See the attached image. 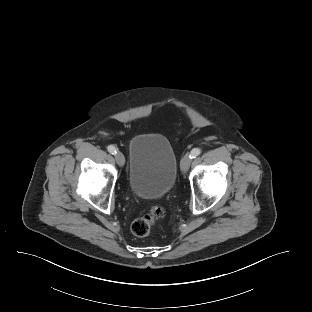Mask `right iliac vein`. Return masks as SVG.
<instances>
[{
	"instance_id": "right-iliac-vein-1",
	"label": "right iliac vein",
	"mask_w": 312,
	"mask_h": 312,
	"mask_svg": "<svg viewBox=\"0 0 312 312\" xmlns=\"http://www.w3.org/2000/svg\"><path fill=\"white\" fill-rule=\"evenodd\" d=\"M115 160L119 166H123L125 164V157L121 152H117L115 154Z\"/></svg>"
}]
</instances>
